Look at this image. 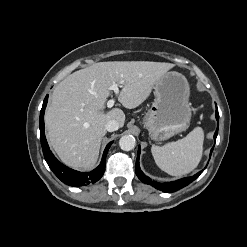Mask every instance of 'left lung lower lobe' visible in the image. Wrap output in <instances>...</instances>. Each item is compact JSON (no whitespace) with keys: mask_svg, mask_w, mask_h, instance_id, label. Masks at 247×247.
<instances>
[{"mask_svg":"<svg viewBox=\"0 0 247 247\" xmlns=\"http://www.w3.org/2000/svg\"><path fill=\"white\" fill-rule=\"evenodd\" d=\"M216 119H217V121H219L218 109L216 111ZM217 134H218V128L214 134L215 140H216ZM212 150H213V148L211 149L210 155L212 154ZM139 155H140V147L138 148V156H137L136 166H135V170H136V174H137L138 178L143 183L151 185V186L155 187L156 189L163 191V192H166V193H171V192L177 191V190L185 187L186 185L193 182L203 172V170H202L192 177L183 178V179L173 181V182L158 183V182L152 181L149 177H147L141 171L140 166H139Z\"/></svg>","mask_w":247,"mask_h":247,"instance_id":"1","label":"left lung lower lobe"}]
</instances>
